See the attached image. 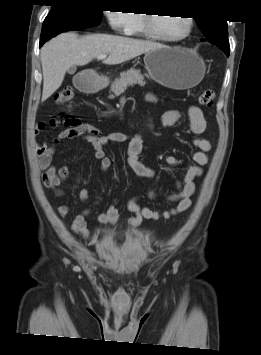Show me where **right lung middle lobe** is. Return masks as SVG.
<instances>
[{
	"label": "right lung middle lobe",
	"instance_id": "dd1d6c3e",
	"mask_svg": "<svg viewBox=\"0 0 261 355\" xmlns=\"http://www.w3.org/2000/svg\"><path fill=\"white\" fill-rule=\"evenodd\" d=\"M103 10L90 0H63L53 3L46 19L72 17L89 26L100 24Z\"/></svg>",
	"mask_w": 261,
	"mask_h": 355
}]
</instances>
